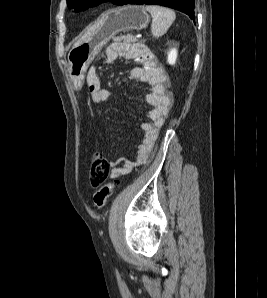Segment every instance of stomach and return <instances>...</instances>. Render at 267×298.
I'll list each match as a JSON object with an SVG mask.
<instances>
[{"instance_id": "1", "label": "stomach", "mask_w": 267, "mask_h": 298, "mask_svg": "<svg viewBox=\"0 0 267 298\" xmlns=\"http://www.w3.org/2000/svg\"><path fill=\"white\" fill-rule=\"evenodd\" d=\"M149 20L144 7L139 5L123 6L103 14L99 28L68 54V73L74 87L81 89L88 66L114 35L121 31L142 30Z\"/></svg>"}]
</instances>
